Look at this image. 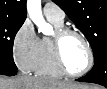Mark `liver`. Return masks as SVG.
Here are the masks:
<instances>
[{"mask_svg":"<svg viewBox=\"0 0 107 89\" xmlns=\"http://www.w3.org/2000/svg\"><path fill=\"white\" fill-rule=\"evenodd\" d=\"M68 87L99 89L97 86L71 84L40 76L18 75L13 78H0V89H68Z\"/></svg>","mask_w":107,"mask_h":89,"instance_id":"liver-1","label":"liver"}]
</instances>
